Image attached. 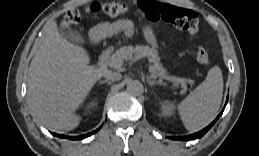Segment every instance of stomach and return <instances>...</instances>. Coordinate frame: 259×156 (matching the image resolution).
<instances>
[{
	"mask_svg": "<svg viewBox=\"0 0 259 156\" xmlns=\"http://www.w3.org/2000/svg\"><path fill=\"white\" fill-rule=\"evenodd\" d=\"M143 34L146 42L151 45L155 51H157L159 49V45L152 31L149 29H143Z\"/></svg>",
	"mask_w": 259,
	"mask_h": 156,
	"instance_id": "1",
	"label": "stomach"
}]
</instances>
